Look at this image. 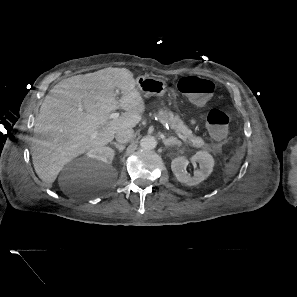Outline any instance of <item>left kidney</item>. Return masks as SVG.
I'll return each mask as SVG.
<instances>
[{"instance_id":"obj_1","label":"left kidney","mask_w":297,"mask_h":297,"mask_svg":"<svg viewBox=\"0 0 297 297\" xmlns=\"http://www.w3.org/2000/svg\"><path fill=\"white\" fill-rule=\"evenodd\" d=\"M190 160L200 164V169H197L193 176L185 170L189 161L184 156H179L172 160L171 170L180 183L194 186L205 180L212 173L214 159L208 152L198 151Z\"/></svg>"}]
</instances>
